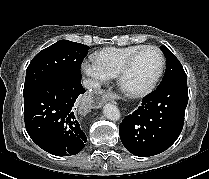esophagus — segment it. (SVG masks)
Instances as JSON below:
<instances>
[{
  "label": "esophagus",
  "instance_id": "esophagus-1",
  "mask_svg": "<svg viewBox=\"0 0 209 179\" xmlns=\"http://www.w3.org/2000/svg\"><path fill=\"white\" fill-rule=\"evenodd\" d=\"M112 100V96L102 93H87L83 98L77 101V108L81 112H88L91 108L101 107L105 101Z\"/></svg>",
  "mask_w": 209,
  "mask_h": 179
}]
</instances>
